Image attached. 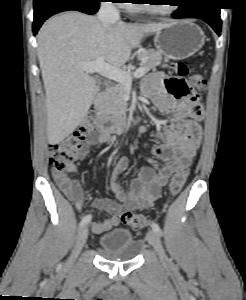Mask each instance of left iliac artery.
Returning a JSON list of instances; mask_svg holds the SVG:
<instances>
[{
  "label": "left iliac artery",
  "mask_w": 246,
  "mask_h": 300,
  "mask_svg": "<svg viewBox=\"0 0 246 300\" xmlns=\"http://www.w3.org/2000/svg\"><path fill=\"white\" fill-rule=\"evenodd\" d=\"M152 228H153V230L156 231L157 233H159V234L161 233V229H160V227H159V225H158L157 223L154 222V223L152 224Z\"/></svg>",
  "instance_id": "44dca946"
}]
</instances>
